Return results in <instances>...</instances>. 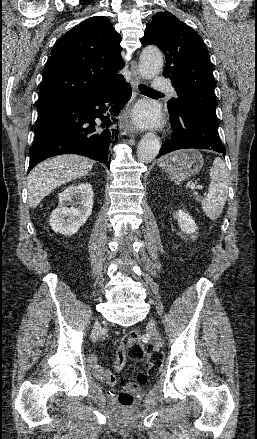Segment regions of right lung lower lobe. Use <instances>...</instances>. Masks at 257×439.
I'll use <instances>...</instances> for the list:
<instances>
[{
  "label": "right lung lower lobe",
  "instance_id": "1",
  "mask_svg": "<svg viewBox=\"0 0 257 439\" xmlns=\"http://www.w3.org/2000/svg\"><path fill=\"white\" fill-rule=\"evenodd\" d=\"M131 94V86L122 78L100 92L38 110L28 173L44 159L67 153L92 158L110 168L109 149L118 137V130L108 129L110 116L119 113Z\"/></svg>",
  "mask_w": 257,
  "mask_h": 439
}]
</instances>
